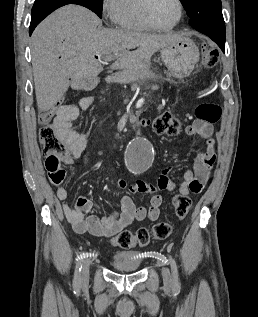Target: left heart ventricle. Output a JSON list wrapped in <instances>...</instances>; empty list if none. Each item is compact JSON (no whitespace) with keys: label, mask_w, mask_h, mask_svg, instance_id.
Instances as JSON below:
<instances>
[{"label":"left heart ventricle","mask_w":258,"mask_h":317,"mask_svg":"<svg viewBox=\"0 0 258 317\" xmlns=\"http://www.w3.org/2000/svg\"><path fill=\"white\" fill-rule=\"evenodd\" d=\"M177 17L178 5L175 0H155L149 9V18L156 26L168 27Z\"/></svg>","instance_id":"obj_1"}]
</instances>
